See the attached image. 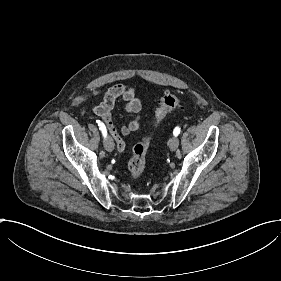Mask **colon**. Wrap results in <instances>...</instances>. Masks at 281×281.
Wrapping results in <instances>:
<instances>
[{
	"instance_id": "colon-1",
	"label": "colon",
	"mask_w": 281,
	"mask_h": 281,
	"mask_svg": "<svg viewBox=\"0 0 281 281\" xmlns=\"http://www.w3.org/2000/svg\"><path fill=\"white\" fill-rule=\"evenodd\" d=\"M186 102L185 98L176 94L166 93L160 101V105L154 114V118L159 120L168 115L172 110L182 106ZM148 147L143 142L138 144L133 152L129 164V172L134 177H139L146 166Z\"/></svg>"
}]
</instances>
